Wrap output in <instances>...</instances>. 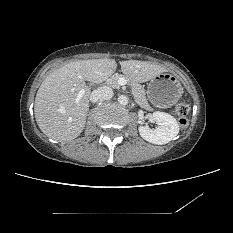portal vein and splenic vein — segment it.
<instances>
[{"mask_svg":"<svg viewBox=\"0 0 233 233\" xmlns=\"http://www.w3.org/2000/svg\"><path fill=\"white\" fill-rule=\"evenodd\" d=\"M119 82V85H126L127 84V80L124 78V77H121L119 78L118 80ZM85 93L84 90H81L79 93H78V96L76 98V101H79L81 99V97L83 96V94Z\"/></svg>","mask_w":233,"mask_h":233,"instance_id":"obj_1","label":"portal vein and splenic vein"}]
</instances>
